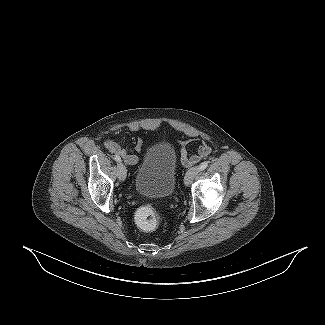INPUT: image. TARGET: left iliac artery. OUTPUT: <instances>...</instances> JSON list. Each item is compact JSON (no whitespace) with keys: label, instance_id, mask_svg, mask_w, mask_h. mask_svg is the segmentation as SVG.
Instances as JSON below:
<instances>
[{"label":"left iliac artery","instance_id":"left-iliac-artery-1","mask_svg":"<svg viewBox=\"0 0 325 325\" xmlns=\"http://www.w3.org/2000/svg\"><path fill=\"white\" fill-rule=\"evenodd\" d=\"M207 166H208V162L205 161V162H203V163L200 164L199 170L202 171V170L206 169Z\"/></svg>","mask_w":325,"mask_h":325}]
</instances>
